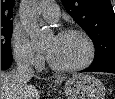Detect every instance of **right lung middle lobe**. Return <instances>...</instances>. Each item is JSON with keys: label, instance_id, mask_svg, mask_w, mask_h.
<instances>
[{"label": "right lung middle lobe", "instance_id": "1", "mask_svg": "<svg viewBox=\"0 0 115 99\" xmlns=\"http://www.w3.org/2000/svg\"><path fill=\"white\" fill-rule=\"evenodd\" d=\"M12 24L1 25V59H12L11 51Z\"/></svg>", "mask_w": 115, "mask_h": 99}]
</instances>
